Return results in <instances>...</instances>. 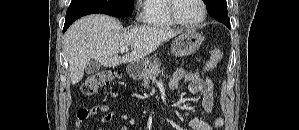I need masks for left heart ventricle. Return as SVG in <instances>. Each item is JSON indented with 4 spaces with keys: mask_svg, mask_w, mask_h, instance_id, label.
Listing matches in <instances>:
<instances>
[{
    "mask_svg": "<svg viewBox=\"0 0 299 130\" xmlns=\"http://www.w3.org/2000/svg\"><path fill=\"white\" fill-rule=\"evenodd\" d=\"M176 12L182 20L194 22L201 17L202 8L198 0H177Z\"/></svg>",
    "mask_w": 299,
    "mask_h": 130,
    "instance_id": "left-heart-ventricle-1",
    "label": "left heart ventricle"
}]
</instances>
